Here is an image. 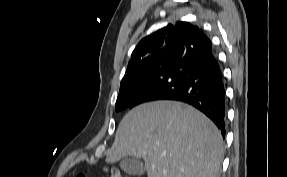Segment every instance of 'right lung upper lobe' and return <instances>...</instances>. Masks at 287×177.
<instances>
[{"instance_id": "right-lung-upper-lobe-1", "label": "right lung upper lobe", "mask_w": 287, "mask_h": 177, "mask_svg": "<svg viewBox=\"0 0 287 177\" xmlns=\"http://www.w3.org/2000/svg\"><path fill=\"white\" fill-rule=\"evenodd\" d=\"M202 32L188 22H177L143 38L131 55L128 68L121 82L130 78L141 70L169 57L182 58L186 48L191 45Z\"/></svg>"}]
</instances>
